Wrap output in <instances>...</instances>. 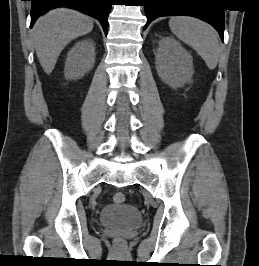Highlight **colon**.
Instances as JSON below:
<instances>
[{"label":"colon","mask_w":259,"mask_h":266,"mask_svg":"<svg viewBox=\"0 0 259 266\" xmlns=\"http://www.w3.org/2000/svg\"><path fill=\"white\" fill-rule=\"evenodd\" d=\"M125 201V194L122 193V192H116L114 195H113V202L115 204H121ZM115 246L117 249L119 250H123L125 248V241L123 239H116L115 240Z\"/></svg>","instance_id":"obj_1"}]
</instances>
